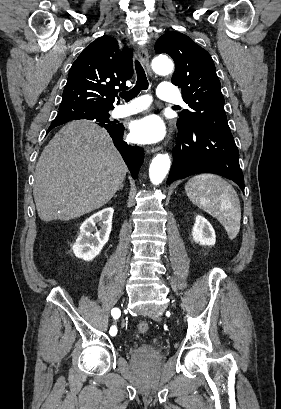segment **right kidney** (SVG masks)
Here are the masks:
<instances>
[{
	"instance_id": "ca27d5eb",
	"label": "right kidney",
	"mask_w": 281,
	"mask_h": 409,
	"mask_svg": "<svg viewBox=\"0 0 281 409\" xmlns=\"http://www.w3.org/2000/svg\"><path fill=\"white\" fill-rule=\"evenodd\" d=\"M113 213L114 209L112 207H106V209L91 215L89 219L82 223L80 235H78L76 243L72 247L75 257L83 259V261H92L99 255L109 239ZM100 221L102 223L101 229L97 231L95 225Z\"/></svg>"
}]
</instances>
